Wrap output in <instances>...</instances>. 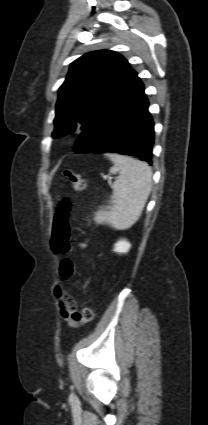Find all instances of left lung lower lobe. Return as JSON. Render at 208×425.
<instances>
[{
	"label": "left lung lower lobe",
	"mask_w": 208,
	"mask_h": 425,
	"mask_svg": "<svg viewBox=\"0 0 208 425\" xmlns=\"http://www.w3.org/2000/svg\"><path fill=\"white\" fill-rule=\"evenodd\" d=\"M148 105L144 84L136 76L82 131L79 153H118L151 164L154 123Z\"/></svg>",
	"instance_id": "obj_1"
}]
</instances>
